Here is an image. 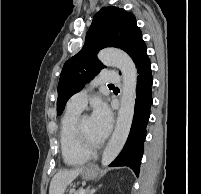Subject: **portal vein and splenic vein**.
<instances>
[{"instance_id":"1","label":"portal vein and splenic vein","mask_w":201,"mask_h":194,"mask_svg":"<svg viewBox=\"0 0 201 194\" xmlns=\"http://www.w3.org/2000/svg\"><path fill=\"white\" fill-rule=\"evenodd\" d=\"M80 194H85V190H84V189H81Z\"/></svg>"}]
</instances>
